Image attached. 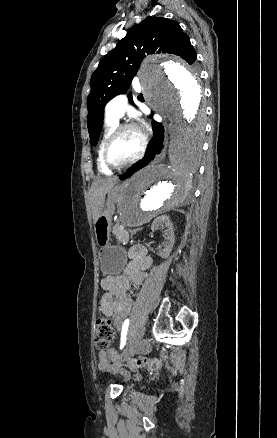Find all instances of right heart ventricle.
Instances as JSON below:
<instances>
[{"instance_id": "right-heart-ventricle-1", "label": "right heart ventricle", "mask_w": 277, "mask_h": 438, "mask_svg": "<svg viewBox=\"0 0 277 438\" xmlns=\"http://www.w3.org/2000/svg\"><path fill=\"white\" fill-rule=\"evenodd\" d=\"M117 121H112V120H107L105 123V128H104V133L102 136V139L100 141L99 144V149H98V169L102 174H110L111 170L103 163L102 160V150L104 147V144L107 140V138L109 137V135L111 134V132L114 130L115 126H116Z\"/></svg>"}]
</instances>
